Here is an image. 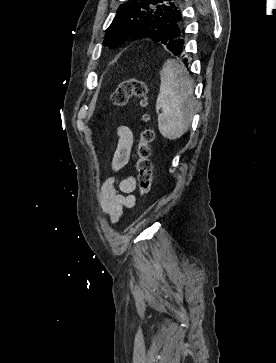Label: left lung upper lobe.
<instances>
[{"mask_svg":"<svg viewBox=\"0 0 276 363\" xmlns=\"http://www.w3.org/2000/svg\"><path fill=\"white\" fill-rule=\"evenodd\" d=\"M173 0H129L117 10L112 24L106 30L103 43L116 48L127 37L139 39L145 36L167 43L185 38L182 12Z\"/></svg>","mask_w":276,"mask_h":363,"instance_id":"5c2ea615","label":"left lung upper lobe"}]
</instances>
